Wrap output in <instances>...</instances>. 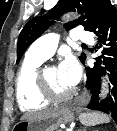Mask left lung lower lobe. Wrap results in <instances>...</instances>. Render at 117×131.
I'll list each match as a JSON object with an SVG mask.
<instances>
[{
    "label": "left lung lower lobe",
    "mask_w": 117,
    "mask_h": 131,
    "mask_svg": "<svg viewBox=\"0 0 117 131\" xmlns=\"http://www.w3.org/2000/svg\"><path fill=\"white\" fill-rule=\"evenodd\" d=\"M98 37L102 48V55L96 58L97 63L93 68L86 67V87L91 89L92 99L88 105L89 109L103 111L111 114L117 123V11L109 2L103 9L99 22L92 31ZM103 63L105 68L98 63ZM105 69L109 71V78L112 84L110 95L99 102L100 78Z\"/></svg>",
    "instance_id": "1"
}]
</instances>
